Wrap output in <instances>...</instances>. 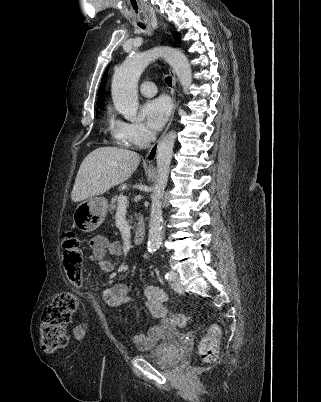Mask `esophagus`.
<instances>
[{"mask_svg":"<svg viewBox=\"0 0 321 402\" xmlns=\"http://www.w3.org/2000/svg\"><path fill=\"white\" fill-rule=\"evenodd\" d=\"M163 27L167 30V25L166 24H163ZM169 71H170V75L172 77L171 98H172V102H173V109H172L170 120H169L164 132L159 137V139L153 144V146L150 148V150L148 151V153L145 156V161L147 163H149V164L152 163L156 158L160 142H161L163 136L165 135V133L167 132V130L169 129V127H170V125H171V123H172V121L174 119L175 110H176V106H177V104H176V82H177V79H176V75H175L173 69L170 68Z\"/></svg>","mask_w":321,"mask_h":402,"instance_id":"obj_1","label":"esophagus"}]
</instances>
